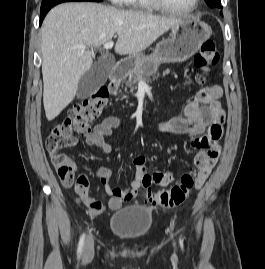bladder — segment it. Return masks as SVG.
Instances as JSON below:
<instances>
[{
  "instance_id": "1",
  "label": "bladder",
  "mask_w": 265,
  "mask_h": 269,
  "mask_svg": "<svg viewBox=\"0 0 265 269\" xmlns=\"http://www.w3.org/2000/svg\"><path fill=\"white\" fill-rule=\"evenodd\" d=\"M153 226L151 209L140 205H130L111 215L109 230L126 241H136L145 237Z\"/></svg>"
}]
</instances>
